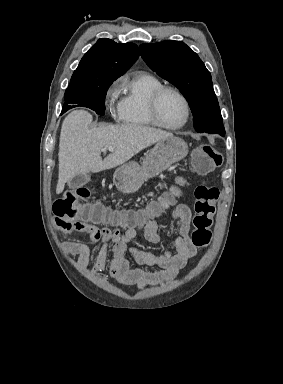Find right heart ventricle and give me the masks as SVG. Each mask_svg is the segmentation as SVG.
<instances>
[{"label": "right heart ventricle", "instance_id": "e07e8e85", "mask_svg": "<svg viewBox=\"0 0 283 384\" xmlns=\"http://www.w3.org/2000/svg\"><path fill=\"white\" fill-rule=\"evenodd\" d=\"M162 83L149 74L136 72L126 77L123 96L119 102L120 120L138 129H152L153 123L147 115V102Z\"/></svg>", "mask_w": 283, "mask_h": 384}]
</instances>
